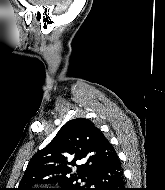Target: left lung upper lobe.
I'll return each instance as SVG.
<instances>
[{
	"instance_id": "5c2ea615",
	"label": "left lung upper lobe",
	"mask_w": 165,
	"mask_h": 190,
	"mask_svg": "<svg viewBox=\"0 0 165 190\" xmlns=\"http://www.w3.org/2000/svg\"><path fill=\"white\" fill-rule=\"evenodd\" d=\"M115 155L112 145L90 120H70L31 158L17 190H88L95 173ZM69 165L77 167L76 173ZM53 182H61L62 188H31ZM80 182L86 185L81 187Z\"/></svg>"
}]
</instances>
